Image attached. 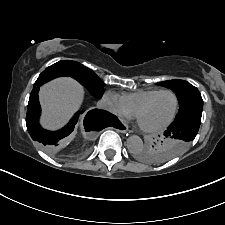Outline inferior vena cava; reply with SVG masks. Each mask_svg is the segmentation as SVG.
<instances>
[{
	"label": "inferior vena cava",
	"instance_id": "inferior-vena-cava-1",
	"mask_svg": "<svg viewBox=\"0 0 225 225\" xmlns=\"http://www.w3.org/2000/svg\"><path fill=\"white\" fill-rule=\"evenodd\" d=\"M98 108L100 109H104V110H108L111 111L112 110V106L111 103L102 99L97 103Z\"/></svg>",
	"mask_w": 225,
	"mask_h": 225
}]
</instances>
